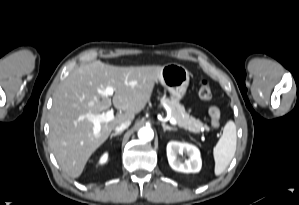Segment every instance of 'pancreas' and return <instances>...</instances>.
Wrapping results in <instances>:
<instances>
[{"label":"pancreas","mask_w":299,"mask_h":205,"mask_svg":"<svg viewBox=\"0 0 299 205\" xmlns=\"http://www.w3.org/2000/svg\"><path fill=\"white\" fill-rule=\"evenodd\" d=\"M161 102L169 107L171 111V117L177 121L179 127H182L185 130L193 133H200L204 130H210L208 125L202 123L199 119H196L186 112L184 106L179 103L178 99L174 97L171 99L163 97L161 98Z\"/></svg>","instance_id":"obj_1"}]
</instances>
